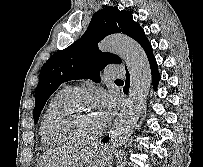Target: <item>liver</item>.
Returning a JSON list of instances; mask_svg holds the SVG:
<instances>
[{
	"instance_id": "6515ba94",
	"label": "liver",
	"mask_w": 203,
	"mask_h": 167,
	"mask_svg": "<svg viewBox=\"0 0 203 167\" xmlns=\"http://www.w3.org/2000/svg\"><path fill=\"white\" fill-rule=\"evenodd\" d=\"M95 147H72L53 151L39 161L37 167H84Z\"/></svg>"
}]
</instances>
